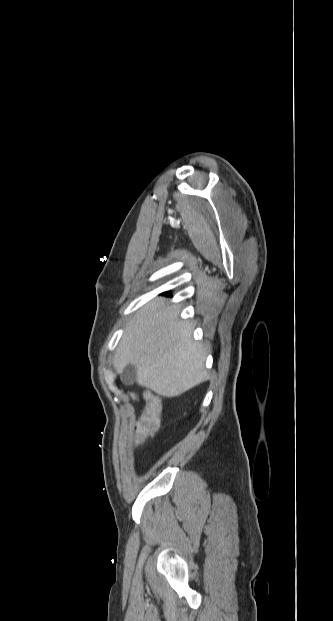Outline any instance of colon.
Here are the masks:
<instances>
[{
  "mask_svg": "<svg viewBox=\"0 0 333 621\" xmlns=\"http://www.w3.org/2000/svg\"><path fill=\"white\" fill-rule=\"evenodd\" d=\"M161 399L151 393L147 399L141 423L138 426V446L143 447L158 430L161 423Z\"/></svg>",
  "mask_w": 333,
  "mask_h": 621,
  "instance_id": "1",
  "label": "colon"
}]
</instances>
